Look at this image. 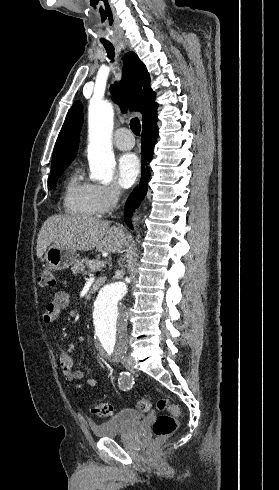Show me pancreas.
Instances as JSON below:
<instances>
[{
    "label": "pancreas",
    "mask_w": 279,
    "mask_h": 490,
    "mask_svg": "<svg viewBox=\"0 0 279 490\" xmlns=\"http://www.w3.org/2000/svg\"><path fill=\"white\" fill-rule=\"evenodd\" d=\"M90 260H77L76 264H73V268H71L73 274H92V272H99L101 268H104L101 262H96L93 268H88V272H85L86 266H88Z\"/></svg>",
    "instance_id": "1"
}]
</instances>
